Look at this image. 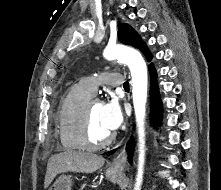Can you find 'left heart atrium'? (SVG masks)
I'll use <instances>...</instances> for the list:
<instances>
[{"label":"left heart atrium","mask_w":221,"mask_h":190,"mask_svg":"<svg viewBox=\"0 0 221 190\" xmlns=\"http://www.w3.org/2000/svg\"><path fill=\"white\" fill-rule=\"evenodd\" d=\"M123 116L120 105L114 99L102 104V122L110 132L117 130L122 124Z\"/></svg>","instance_id":"left-heart-atrium-1"}]
</instances>
